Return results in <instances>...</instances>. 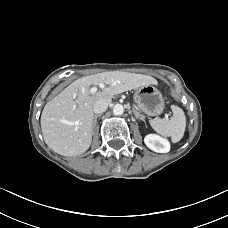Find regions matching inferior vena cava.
Listing matches in <instances>:
<instances>
[{"mask_svg":"<svg viewBox=\"0 0 228 228\" xmlns=\"http://www.w3.org/2000/svg\"><path fill=\"white\" fill-rule=\"evenodd\" d=\"M111 103L110 100H99L94 105V113L101 114L105 112L108 108V105Z\"/></svg>","mask_w":228,"mask_h":228,"instance_id":"inferior-vena-cava-1","label":"inferior vena cava"}]
</instances>
